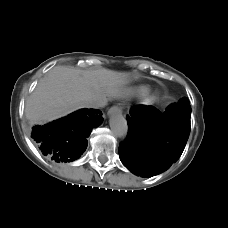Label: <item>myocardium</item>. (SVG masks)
Listing matches in <instances>:
<instances>
[{
	"mask_svg": "<svg viewBox=\"0 0 228 228\" xmlns=\"http://www.w3.org/2000/svg\"><path fill=\"white\" fill-rule=\"evenodd\" d=\"M146 100H147L148 102H151V101L153 100V97L149 96V97H147Z\"/></svg>",
	"mask_w": 228,
	"mask_h": 228,
	"instance_id": "1",
	"label": "myocardium"
}]
</instances>
